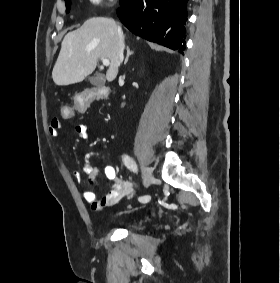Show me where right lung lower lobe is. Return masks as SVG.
Returning <instances> with one entry per match:
<instances>
[{
    "instance_id": "obj_1",
    "label": "right lung lower lobe",
    "mask_w": 280,
    "mask_h": 283,
    "mask_svg": "<svg viewBox=\"0 0 280 283\" xmlns=\"http://www.w3.org/2000/svg\"><path fill=\"white\" fill-rule=\"evenodd\" d=\"M188 0H125L117 9L134 34L173 50H185Z\"/></svg>"
}]
</instances>
